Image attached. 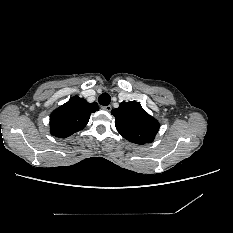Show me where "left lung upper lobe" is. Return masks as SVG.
Wrapping results in <instances>:
<instances>
[{"label": "left lung upper lobe", "mask_w": 233, "mask_h": 233, "mask_svg": "<svg viewBox=\"0 0 233 233\" xmlns=\"http://www.w3.org/2000/svg\"><path fill=\"white\" fill-rule=\"evenodd\" d=\"M111 114L115 116L118 132L132 143H150L159 130V122L136 101L122 102Z\"/></svg>", "instance_id": "obj_1"}]
</instances>
